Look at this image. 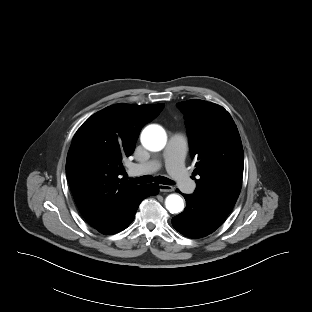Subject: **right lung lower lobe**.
I'll return each mask as SVG.
<instances>
[{
    "instance_id": "1",
    "label": "right lung lower lobe",
    "mask_w": 312,
    "mask_h": 312,
    "mask_svg": "<svg viewBox=\"0 0 312 312\" xmlns=\"http://www.w3.org/2000/svg\"><path fill=\"white\" fill-rule=\"evenodd\" d=\"M158 191L159 186L157 184L141 185L122 213L113 222L98 229V231L103 234H113L125 229L133 221L141 201L148 196L156 195Z\"/></svg>"
}]
</instances>
